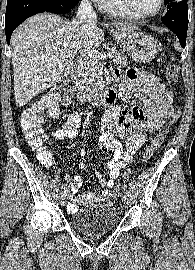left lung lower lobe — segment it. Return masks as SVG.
<instances>
[{"mask_svg":"<svg viewBox=\"0 0 195 270\" xmlns=\"http://www.w3.org/2000/svg\"><path fill=\"white\" fill-rule=\"evenodd\" d=\"M167 12L162 22L179 38L181 46L186 45L188 28L187 0L173 1L166 4Z\"/></svg>","mask_w":195,"mask_h":270,"instance_id":"left-lung-lower-lobe-1","label":"left lung lower lobe"}]
</instances>
